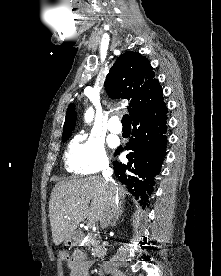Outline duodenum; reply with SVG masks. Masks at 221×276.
Returning a JSON list of instances; mask_svg holds the SVG:
<instances>
[{"mask_svg":"<svg viewBox=\"0 0 221 276\" xmlns=\"http://www.w3.org/2000/svg\"><path fill=\"white\" fill-rule=\"evenodd\" d=\"M103 253H104V249L101 246H97L93 249V255L96 258L101 257L103 255Z\"/></svg>","mask_w":221,"mask_h":276,"instance_id":"410a0bca","label":"duodenum"}]
</instances>
